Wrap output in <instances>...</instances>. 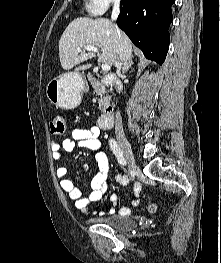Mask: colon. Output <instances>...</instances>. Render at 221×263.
<instances>
[{"label":"colon","mask_w":221,"mask_h":263,"mask_svg":"<svg viewBox=\"0 0 221 263\" xmlns=\"http://www.w3.org/2000/svg\"><path fill=\"white\" fill-rule=\"evenodd\" d=\"M49 128H50V134L52 136H60L64 134L66 130V124L61 115H54L49 123ZM155 205L151 204L149 206V211L153 212L155 210Z\"/></svg>","instance_id":"obj_1"}]
</instances>
